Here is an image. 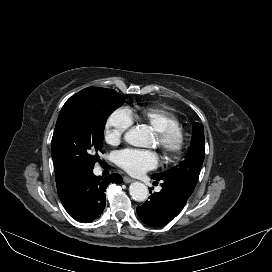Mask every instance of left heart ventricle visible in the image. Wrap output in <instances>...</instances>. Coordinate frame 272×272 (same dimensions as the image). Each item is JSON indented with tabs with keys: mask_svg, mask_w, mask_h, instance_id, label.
Returning a JSON list of instances; mask_svg holds the SVG:
<instances>
[{
	"mask_svg": "<svg viewBox=\"0 0 272 272\" xmlns=\"http://www.w3.org/2000/svg\"><path fill=\"white\" fill-rule=\"evenodd\" d=\"M152 145H153V146L156 145V138H155V137H154V139H153Z\"/></svg>",
	"mask_w": 272,
	"mask_h": 272,
	"instance_id": "b2bd125f",
	"label": "left heart ventricle"
}]
</instances>
